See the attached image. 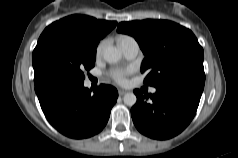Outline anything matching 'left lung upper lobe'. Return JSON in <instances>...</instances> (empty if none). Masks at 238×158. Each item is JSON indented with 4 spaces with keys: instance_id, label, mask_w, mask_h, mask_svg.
<instances>
[{
    "instance_id": "5c2ea615",
    "label": "left lung upper lobe",
    "mask_w": 238,
    "mask_h": 158,
    "mask_svg": "<svg viewBox=\"0 0 238 158\" xmlns=\"http://www.w3.org/2000/svg\"><path fill=\"white\" fill-rule=\"evenodd\" d=\"M118 32L133 36L146 56L141 72L146 85L158 86L188 75L204 74L203 48L189 29L167 20L121 22Z\"/></svg>"
}]
</instances>
